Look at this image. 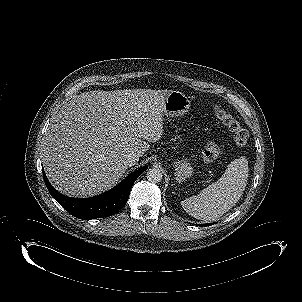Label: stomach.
Here are the masks:
<instances>
[{"mask_svg": "<svg viewBox=\"0 0 302 302\" xmlns=\"http://www.w3.org/2000/svg\"><path fill=\"white\" fill-rule=\"evenodd\" d=\"M191 101L187 95L180 91H171L165 99L163 106V113L169 117H178L188 112ZM175 172L174 179L182 183L190 178L194 169L187 158L177 160L173 163Z\"/></svg>", "mask_w": 302, "mask_h": 302, "instance_id": "stomach-1", "label": "stomach"}]
</instances>
